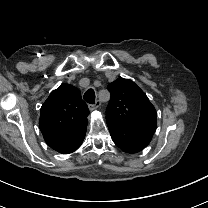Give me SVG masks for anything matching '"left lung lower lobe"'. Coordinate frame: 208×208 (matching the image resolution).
Returning <instances> with one entry per match:
<instances>
[{"mask_svg":"<svg viewBox=\"0 0 208 208\" xmlns=\"http://www.w3.org/2000/svg\"><path fill=\"white\" fill-rule=\"evenodd\" d=\"M107 125L114 143L126 153H137L150 142L138 129H130L111 122H107Z\"/></svg>","mask_w":208,"mask_h":208,"instance_id":"1","label":"left lung lower lobe"}]
</instances>
